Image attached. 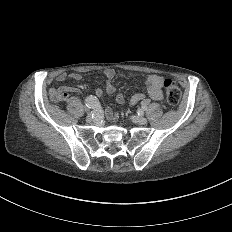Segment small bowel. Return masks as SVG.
I'll return each mask as SVG.
<instances>
[{"mask_svg": "<svg viewBox=\"0 0 232 232\" xmlns=\"http://www.w3.org/2000/svg\"><path fill=\"white\" fill-rule=\"evenodd\" d=\"M102 76L107 80L111 81L116 76V71L114 69H103L101 71ZM79 80L80 75L78 73H62L58 76V80L60 82L66 81V80ZM139 80L147 84L149 86L148 88V95L156 100V101H162L163 100V94L161 91V86L164 84V78L162 75L158 73H147L144 76L139 77ZM80 89L76 86H61V87H55L50 86L48 88L49 94H56V93H76L79 92ZM114 88L110 87V92H113ZM96 96L100 97L102 96V90L101 88L97 87L95 89ZM144 98V94L142 92H136L132 95L130 105L135 106L139 101H141ZM117 100L119 103H123L125 100V93L123 91L118 92L117 94ZM106 113L109 116V118L113 119L115 117V113L113 111V108L111 105L106 106Z\"/></svg>", "mask_w": 232, "mask_h": 232, "instance_id": "obj_1", "label": "small bowel"}]
</instances>
